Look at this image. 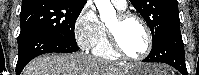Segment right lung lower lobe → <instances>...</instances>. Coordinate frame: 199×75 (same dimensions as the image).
Listing matches in <instances>:
<instances>
[{
    "label": "right lung lower lobe",
    "mask_w": 199,
    "mask_h": 75,
    "mask_svg": "<svg viewBox=\"0 0 199 75\" xmlns=\"http://www.w3.org/2000/svg\"><path fill=\"white\" fill-rule=\"evenodd\" d=\"M79 50L77 45L56 39L50 35L35 32L22 38L18 37V62L16 75H20L23 68L33 58L51 52L70 53Z\"/></svg>",
    "instance_id": "obj_1"
}]
</instances>
